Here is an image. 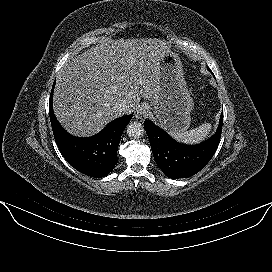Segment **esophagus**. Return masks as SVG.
Returning a JSON list of instances; mask_svg holds the SVG:
<instances>
[{
  "mask_svg": "<svg viewBox=\"0 0 272 272\" xmlns=\"http://www.w3.org/2000/svg\"><path fill=\"white\" fill-rule=\"evenodd\" d=\"M147 114V108L145 106H139L135 111V117L137 119H142Z\"/></svg>",
  "mask_w": 272,
  "mask_h": 272,
  "instance_id": "obj_1",
  "label": "esophagus"
}]
</instances>
